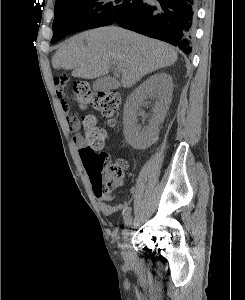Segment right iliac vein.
I'll list each match as a JSON object with an SVG mask.
<instances>
[{
	"instance_id": "1",
	"label": "right iliac vein",
	"mask_w": 245,
	"mask_h": 300,
	"mask_svg": "<svg viewBox=\"0 0 245 300\" xmlns=\"http://www.w3.org/2000/svg\"><path fill=\"white\" fill-rule=\"evenodd\" d=\"M132 222H133V218L132 216H129L126 221H125V224L127 227H130L132 225ZM129 236H130V231L128 229H125L122 233V245H121V248H122V254L124 257H127L128 256V251H127V248H128V239H129Z\"/></svg>"
}]
</instances>
